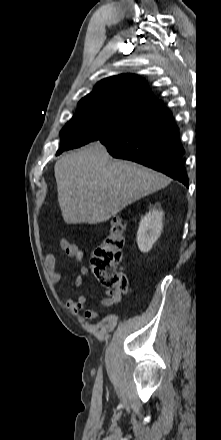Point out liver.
<instances>
[{
    "label": "liver",
    "instance_id": "6515ba94",
    "mask_svg": "<svg viewBox=\"0 0 221 440\" xmlns=\"http://www.w3.org/2000/svg\"><path fill=\"white\" fill-rule=\"evenodd\" d=\"M58 202L67 224H97L171 180L139 164L114 160L100 143L65 155L54 167Z\"/></svg>",
    "mask_w": 221,
    "mask_h": 440
}]
</instances>
